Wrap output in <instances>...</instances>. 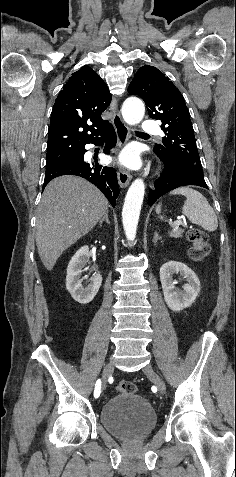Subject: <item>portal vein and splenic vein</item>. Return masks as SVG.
Wrapping results in <instances>:
<instances>
[{"instance_id": "obj_1", "label": "portal vein and splenic vein", "mask_w": 236, "mask_h": 477, "mask_svg": "<svg viewBox=\"0 0 236 477\" xmlns=\"http://www.w3.org/2000/svg\"><path fill=\"white\" fill-rule=\"evenodd\" d=\"M180 225H183V222L181 220H177L171 224V226L175 227V229L179 228Z\"/></svg>"}]
</instances>
